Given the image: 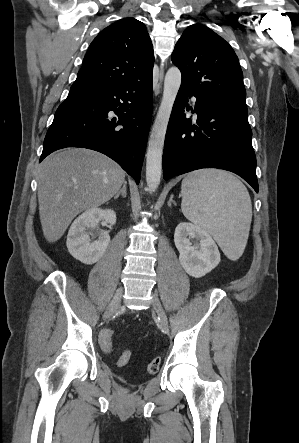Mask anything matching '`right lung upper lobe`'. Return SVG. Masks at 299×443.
Here are the masks:
<instances>
[{
  "label": "right lung upper lobe",
  "instance_id": "right-lung-upper-lobe-1",
  "mask_svg": "<svg viewBox=\"0 0 299 443\" xmlns=\"http://www.w3.org/2000/svg\"><path fill=\"white\" fill-rule=\"evenodd\" d=\"M153 45L145 25L119 20L92 41L71 89H93L152 76Z\"/></svg>",
  "mask_w": 299,
  "mask_h": 443
}]
</instances>
